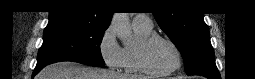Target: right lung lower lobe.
<instances>
[{
	"label": "right lung lower lobe",
	"instance_id": "1",
	"mask_svg": "<svg viewBox=\"0 0 255 79\" xmlns=\"http://www.w3.org/2000/svg\"><path fill=\"white\" fill-rule=\"evenodd\" d=\"M45 66H41V67H37L35 68L34 72H33V76L34 77L41 69H43Z\"/></svg>",
	"mask_w": 255,
	"mask_h": 79
}]
</instances>
